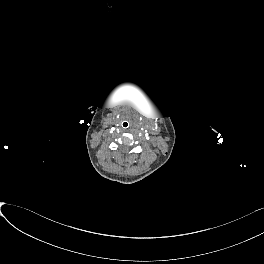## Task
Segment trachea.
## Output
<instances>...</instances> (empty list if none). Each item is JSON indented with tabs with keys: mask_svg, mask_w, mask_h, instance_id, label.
Listing matches in <instances>:
<instances>
[{
	"mask_svg": "<svg viewBox=\"0 0 264 264\" xmlns=\"http://www.w3.org/2000/svg\"><path fill=\"white\" fill-rule=\"evenodd\" d=\"M122 127L125 128V129L128 128V127H129V123H128V122H124V123L122 124Z\"/></svg>",
	"mask_w": 264,
	"mask_h": 264,
	"instance_id": "obj_1",
	"label": "trachea"
}]
</instances>
